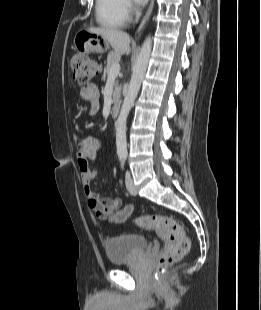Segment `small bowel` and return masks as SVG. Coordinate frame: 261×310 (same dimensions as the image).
Returning <instances> with one entry per match:
<instances>
[{
	"label": "small bowel",
	"mask_w": 261,
	"mask_h": 310,
	"mask_svg": "<svg viewBox=\"0 0 261 310\" xmlns=\"http://www.w3.org/2000/svg\"><path fill=\"white\" fill-rule=\"evenodd\" d=\"M81 95L92 105V113L98 109L99 93L95 85H87L81 89ZM78 142L77 164L81 178V185L88 208L101 219H106L113 224L124 222L134 211L133 204L121 208V200L116 197L96 194L91 190V181L96 176L95 168L90 161L99 159V152L103 142L93 137L75 135Z\"/></svg>",
	"instance_id": "small-bowel-1"
}]
</instances>
